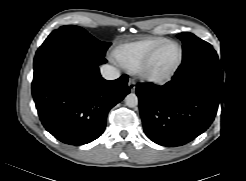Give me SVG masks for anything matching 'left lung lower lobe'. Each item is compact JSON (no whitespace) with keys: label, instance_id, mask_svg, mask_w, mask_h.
Masks as SVG:
<instances>
[{"label":"left lung lower lobe","instance_id":"0a47b994","mask_svg":"<svg viewBox=\"0 0 246 181\" xmlns=\"http://www.w3.org/2000/svg\"><path fill=\"white\" fill-rule=\"evenodd\" d=\"M222 93L221 65L213 48L183 57L165 85L136 87L146 135L163 146L190 142L213 122Z\"/></svg>","mask_w":246,"mask_h":181}]
</instances>
